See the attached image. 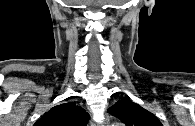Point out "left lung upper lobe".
<instances>
[{
    "label": "left lung upper lobe",
    "instance_id": "left-lung-upper-lobe-1",
    "mask_svg": "<svg viewBox=\"0 0 195 126\" xmlns=\"http://www.w3.org/2000/svg\"><path fill=\"white\" fill-rule=\"evenodd\" d=\"M108 112L119 118L126 126H163L151 112L128 98L117 101Z\"/></svg>",
    "mask_w": 195,
    "mask_h": 126
}]
</instances>
